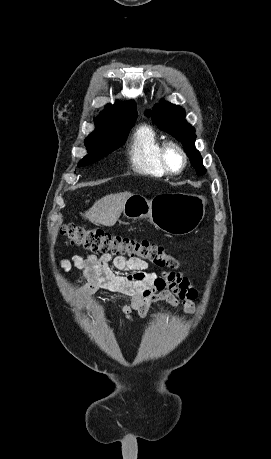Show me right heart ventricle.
Segmentation results:
<instances>
[{"label": "right heart ventricle", "mask_w": 271, "mask_h": 459, "mask_svg": "<svg viewBox=\"0 0 271 459\" xmlns=\"http://www.w3.org/2000/svg\"><path fill=\"white\" fill-rule=\"evenodd\" d=\"M162 143L163 138L153 126L148 124L139 126L132 136L128 151L129 161L134 171L156 178L166 177L168 173L159 156Z\"/></svg>", "instance_id": "obj_1"}]
</instances>
